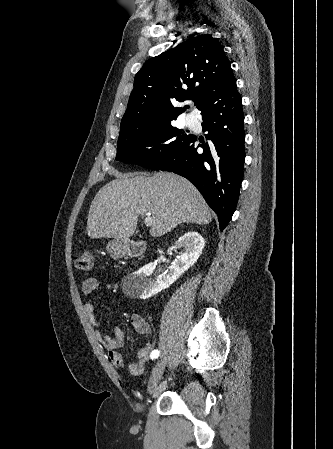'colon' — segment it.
Here are the masks:
<instances>
[{"label": "colon", "mask_w": 333, "mask_h": 449, "mask_svg": "<svg viewBox=\"0 0 333 449\" xmlns=\"http://www.w3.org/2000/svg\"><path fill=\"white\" fill-rule=\"evenodd\" d=\"M75 264L79 270L89 272L93 268L94 253L92 251L83 252L76 258Z\"/></svg>", "instance_id": "obj_1"}]
</instances>
